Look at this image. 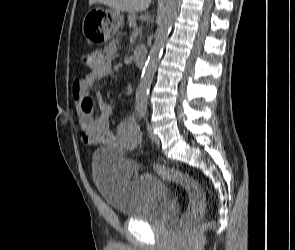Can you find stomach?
<instances>
[{"mask_svg":"<svg viewBox=\"0 0 295 250\" xmlns=\"http://www.w3.org/2000/svg\"><path fill=\"white\" fill-rule=\"evenodd\" d=\"M124 21L123 15L112 9L97 7L91 9L84 17L82 30L91 45H106Z\"/></svg>","mask_w":295,"mask_h":250,"instance_id":"0dacf381","label":"stomach"}]
</instances>
